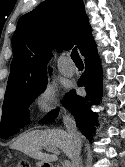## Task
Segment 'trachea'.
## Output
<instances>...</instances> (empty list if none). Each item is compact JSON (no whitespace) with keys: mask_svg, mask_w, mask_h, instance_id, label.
Listing matches in <instances>:
<instances>
[{"mask_svg":"<svg viewBox=\"0 0 125 167\" xmlns=\"http://www.w3.org/2000/svg\"><path fill=\"white\" fill-rule=\"evenodd\" d=\"M71 59L74 61L76 65L83 64L76 47L72 50Z\"/></svg>","mask_w":125,"mask_h":167,"instance_id":"1","label":"trachea"}]
</instances>
